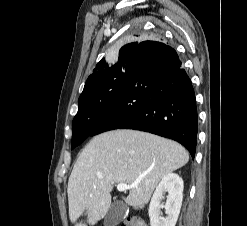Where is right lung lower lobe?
Wrapping results in <instances>:
<instances>
[{"mask_svg": "<svg viewBox=\"0 0 247 226\" xmlns=\"http://www.w3.org/2000/svg\"><path fill=\"white\" fill-rule=\"evenodd\" d=\"M197 108L192 83L176 51L165 43H138L121 89L91 136L136 129L181 143L194 158Z\"/></svg>", "mask_w": 247, "mask_h": 226, "instance_id": "right-lung-lower-lobe-1", "label": "right lung lower lobe"}]
</instances>
